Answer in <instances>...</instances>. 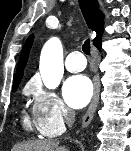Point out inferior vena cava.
<instances>
[{
  "label": "inferior vena cava",
  "mask_w": 131,
  "mask_h": 151,
  "mask_svg": "<svg viewBox=\"0 0 131 151\" xmlns=\"http://www.w3.org/2000/svg\"><path fill=\"white\" fill-rule=\"evenodd\" d=\"M66 123L69 127L72 126V124L74 123V115H69L66 117Z\"/></svg>",
  "instance_id": "obj_1"
}]
</instances>
